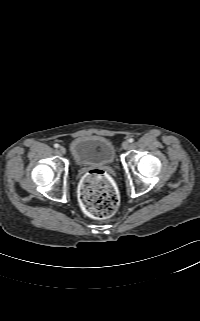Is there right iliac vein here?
Masks as SVG:
<instances>
[{"mask_svg": "<svg viewBox=\"0 0 200 321\" xmlns=\"http://www.w3.org/2000/svg\"><path fill=\"white\" fill-rule=\"evenodd\" d=\"M59 152H60L61 154H65L66 150H65V148H64L63 146H60V147H59Z\"/></svg>", "mask_w": 200, "mask_h": 321, "instance_id": "right-iliac-vein-1", "label": "right iliac vein"}]
</instances>
